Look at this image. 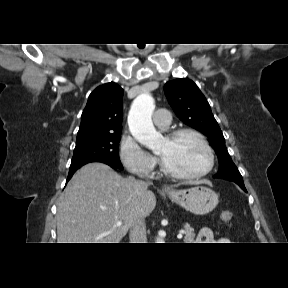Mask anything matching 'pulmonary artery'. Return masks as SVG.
Returning <instances> with one entry per match:
<instances>
[{
    "label": "pulmonary artery",
    "mask_w": 288,
    "mask_h": 288,
    "mask_svg": "<svg viewBox=\"0 0 288 288\" xmlns=\"http://www.w3.org/2000/svg\"><path fill=\"white\" fill-rule=\"evenodd\" d=\"M154 124L160 129H167L171 123V114L165 109H159L154 116Z\"/></svg>",
    "instance_id": "obj_1"
}]
</instances>
